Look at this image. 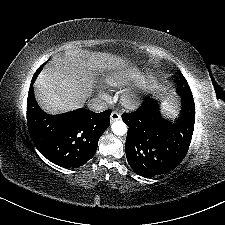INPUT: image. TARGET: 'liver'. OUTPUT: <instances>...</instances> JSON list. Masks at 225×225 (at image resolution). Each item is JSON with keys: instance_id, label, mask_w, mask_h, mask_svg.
<instances>
[{"instance_id": "6515ba94", "label": "liver", "mask_w": 225, "mask_h": 225, "mask_svg": "<svg viewBox=\"0 0 225 225\" xmlns=\"http://www.w3.org/2000/svg\"><path fill=\"white\" fill-rule=\"evenodd\" d=\"M95 70L108 71L124 81V76L137 68L108 53H64L55 56L38 76L34 85L37 101L52 114L83 107L96 86Z\"/></svg>"}]
</instances>
